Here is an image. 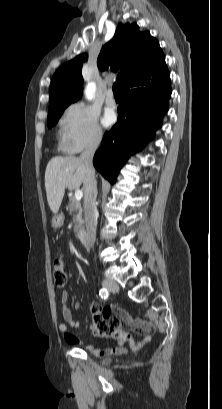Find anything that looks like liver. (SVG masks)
Returning <instances> with one entry per match:
<instances>
[{
	"mask_svg": "<svg viewBox=\"0 0 222 409\" xmlns=\"http://www.w3.org/2000/svg\"><path fill=\"white\" fill-rule=\"evenodd\" d=\"M86 177V168L78 157L56 156L47 164L45 171V189L48 205L57 214L62 203L65 189L78 190Z\"/></svg>",
	"mask_w": 222,
	"mask_h": 409,
	"instance_id": "liver-1",
	"label": "liver"
}]
</instances>
